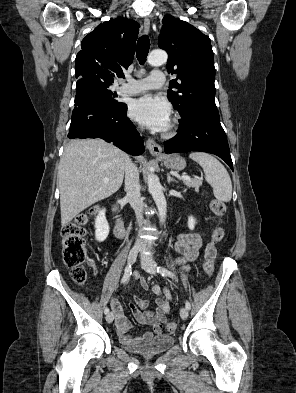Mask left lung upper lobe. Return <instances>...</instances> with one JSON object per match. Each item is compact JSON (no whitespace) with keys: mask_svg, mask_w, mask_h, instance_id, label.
<instances>
[{"mask_svg":"<svg viewBox=\"0 0 296 393\" xmlns=\"http://www.w3.org/2000/svg\"><path fill=\"white\" fill-rule=\"evenodd\" d=\"M159 47L168 53L167 71L177 74L170 81L167 97L182 122L200 109H216L215 67L208 36L189 23L168 15L163 20Z\"/></svg>","mask_w":296,"mask_h":393,"instance_id":"left-lung-upper-lobe-1","label":"left lung upper lobe"}]
</instances>
